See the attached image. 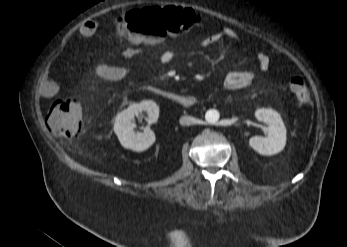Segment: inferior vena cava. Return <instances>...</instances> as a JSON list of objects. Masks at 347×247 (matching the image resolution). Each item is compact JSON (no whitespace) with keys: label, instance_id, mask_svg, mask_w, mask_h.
<instances>
[{"label":"inferior vena cava","instance_id":"1","mask_svg":"<svg viewBox=\"0 0 347 247\" xmlns=\"http://www.w3.org/2000/svg\"><path fill=\"white\" fill-rule=\"evenodd\" d=\"M197 123V119L191 116H183L180 118L181 125H191Z\"/></svg>","mask_w":347,"mask_h":247}]
</instances>
